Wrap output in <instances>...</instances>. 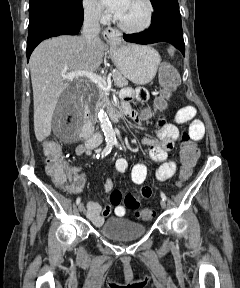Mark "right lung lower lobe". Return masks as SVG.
<instances>
[{
	"label": "right lung lower lobe",
	"instance_id": "1",
	"mask_svg": "<svg viewBox=\"0 0 240 288\" xmlns=\"http://www.w3.org/2000/svg\"><path fill=\"white\" fill-rule=\"evenodd\" d=\"M84 13L55 12L48 14L28 27L27 59L44 39L59 35H75L83 24Z\"/></svg>",
	"mask_w": 240,
	"mask_h": 288
}]
</instances>
